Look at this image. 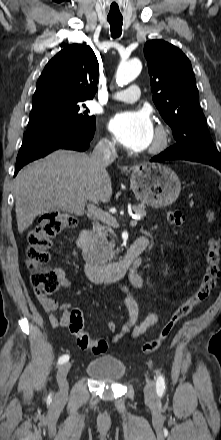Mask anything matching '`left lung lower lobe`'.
I'll list each match as a JSON object with an SVG mask.
<instances>
[{
	"label": "left lung lower lobe",
	"instance_id": "left-lung-lower-lobe-1",
	"mask_svg": "<svg viewBox=\"0 0 221 440\" xmlns=\"http://www.w3.org/2000/svg\"><path fill=\"white\" fill-rule=\"evenodd\" d=\"M178 159H183V158L178 157L176 154H173V153L165 150L164 152L160 153L159 155L153 157L151 159V161L152 162H162V161H166V160H178ZM183 160H186V159H183ZM202 163L211 165L221 172V163H206V162H202Z\"/></svg>",
	"mask_w": 221,
	"mask_h": 440
}]
</instances>
